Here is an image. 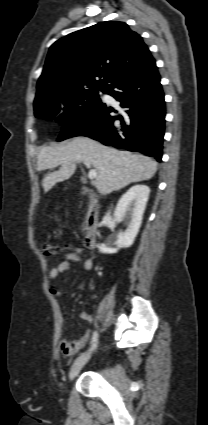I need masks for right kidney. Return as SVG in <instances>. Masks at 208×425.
Here are the masks:
<instances>
[{
    "label": "right kidney",
    "instance_id": "right-kidney-1",
    "mask_svg": "<svg viewBox=\"0 0 208 425\" xmlns=\"http://www.w3.org/2000/svg\"><path fill=\"white\" fill-rule=\"evenodd\" d=\"M150 189L145 185L131 187L118 201L114 217L117 222L126 218L128 227L125 232H120L115 242L116 247L111 245H97L102 253L113 254L121 248H128L133 243L142 223L143 213L146 208Z\"/></svg>",
    "mask_w": 208,
    "mask_h": 425
}]
</instances>
